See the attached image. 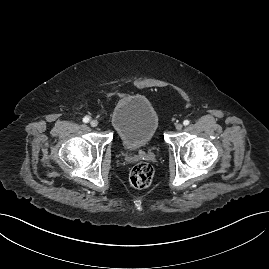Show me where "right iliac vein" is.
I'll return each mask as SVG.
<instances>
[{"label":"right iliac vein","instance_id":"obj_1","mask_svg":"<svg viewBox=\"0 0 269 269\" xmlns=\"http://www.w3.org/2000/svg\"><path fill=\"white\" fill-rule=\"evenodd\" d=\"M90 125L92 127H96L98 125V121L93 119V120L90 121Z\"/></svg>","mask_w":269,"mask_h":269}]
</instances>
